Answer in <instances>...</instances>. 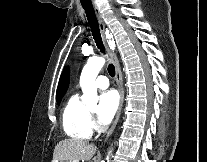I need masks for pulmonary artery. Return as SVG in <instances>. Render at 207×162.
Masks as SVG:
<instances>
[{"label":"pulmonary artery","mask_w":207,"mask_h":162,"mask_svg":"<svg viewBox=\"0 0 207 162\" xmlns=\"http://www.w3.org/2000/svg\"><path fill=\"white\" fill-rule=\"evenodd\" d=\"M95 85L99 89H106L109 87V80L106 76L100 75L97 77Z\"/></svg>","instance_id":"1"}]
</instances>
